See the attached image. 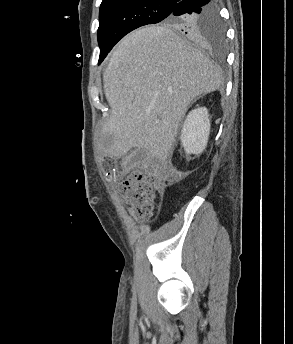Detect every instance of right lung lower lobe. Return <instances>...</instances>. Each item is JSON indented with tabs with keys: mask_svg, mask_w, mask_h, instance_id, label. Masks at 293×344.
I'll return each mask as SVG.
<instances>
[{
	"mask_svg": "<svg viewBox=\"0 0 293 344\" xmlns=\"http://www.w3.org/2000/svg\"><path fill=\"white\" fill-rule=\"evenodd\" d=\"M214 6V0H180L175 3V8L171 15L174 17H182L201 12H209ZM183 31L189 37H192L198 32V29L194 26H189L184 28Z\"/></svg>",
	"mask_w": 293,
	"mask_h": 344,
	"instance_id": "1",
	"label": "right lung lower lobe"
}]
</instances>
